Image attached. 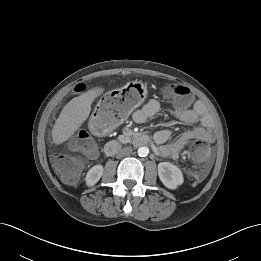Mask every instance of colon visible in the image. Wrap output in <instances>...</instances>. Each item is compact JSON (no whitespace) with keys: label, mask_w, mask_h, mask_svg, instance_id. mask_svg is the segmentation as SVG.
Wrapping results in <instances>:
<instances>
[{"label":"colon","mask_w":261,"mask_h":261,"mask_svg":"<svg viewBox=\"0 0 261 261\" xmlns=\"http://www.w3.org/2000/svg\"><path fill=\"white\" fill-rule=\"evenodd\" d=\"M165 97L177 104L181 108L187 107L192 100L190 90L182 84H169L162 86ZM81 88H77L80 91ZM104 110L100 114L102 119L95 123L96 126L103 127L106 131L114 124L124 119L127 107L125 105V96L121 93H113L104 98ZM69 148L73 152H78L84 156L92 157L97 152V144L93 136L87 130H80L77 135L69 141ZM192 161L201 167V172L206 168V162L209 156L208 147L201 143H195L191 148ZM54 166L67 184L75 183L83 169V159L75 153L59 155L55 158Z\"/></svg>","instance_id":"5ec220e1"}]
</instances>
